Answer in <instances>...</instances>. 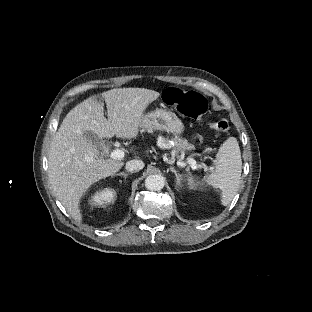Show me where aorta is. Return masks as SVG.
Segmentation results:
<instances>
[{"instance_id":"762f6f07","label":"aorta","mask_w":312,"mask_h":312,"mask_svg":"<svg viewBox=\"0 0 312 312\" xmlns=\"http://www.w3.org/2000/svg\"><path fill=\"white\" fill-rule=\"evenodd\" d=\"M164 177L161 175H149L145 179V187L148 190L159 191L164 187Z\"/></svg>"}]
</instances>
